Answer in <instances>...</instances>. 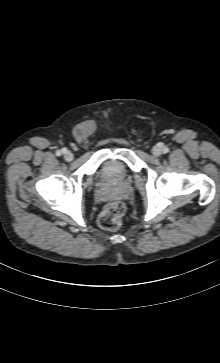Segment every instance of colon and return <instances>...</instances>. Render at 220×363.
<instances>
[{"mask_svg":"<svg viewBox=\"0 0 220 363\" xmlns=\"http://www.w3.org/2000/svg\"><path fill=\"white\" fill-rule=\"evenodd\" d=\"M125 213V205L121 201L106 204L98 217L99 226L108 231L120 228Z\"/></svg>","mask_w":220,"mask_h":363,"instance_id":"colon-1","label":"colon"}]
</instances>
